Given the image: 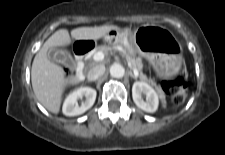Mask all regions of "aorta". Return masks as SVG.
<instances>
[{
    "label": "aorta",
    "instance_id": "aorta-1",
    "mask_svg": "<svg viewBox=\"0 0 225 155\" xmlns=\"http://www.w3.org/2000/svg\"><path fill=\"white\" fill-rule=\"evenodd\" d=\"M125 74V69L120 64H114L110 67V75L114 78H122Z\"/></svg>",
    "mask_w": 225,
    "mask_h": 155
}]
</instances>
